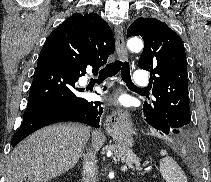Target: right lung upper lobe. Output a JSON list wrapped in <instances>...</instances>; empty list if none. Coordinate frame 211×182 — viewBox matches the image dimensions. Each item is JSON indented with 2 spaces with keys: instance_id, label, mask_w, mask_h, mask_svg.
Wrapping results in <instances>:
<instances>
[{
  "instance_id": "cb5924a9",
  "label": "right lung upper lobe",
  "mask_w": 211,
  "mask_h": 182,
  "mask_svg": "<svg viewBox=\"0 0 211 182\" xmlns=\"http://www.w3.org/2000/svg\"><path fill=\"white\" fill-rule=\"evenodd\" d=\"M79 44L82 52L90 57L96 66L107 62V58L115 50L114 35L109 25L96 13H74L61 25ZM60 25V26H61Z\"/></svg>"
}]
</instances>
